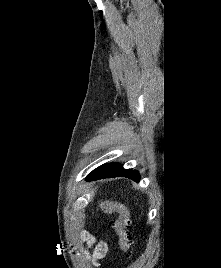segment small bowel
Masks as SVG:
<instances>
[{
	"label": "small bowel",
	"instance_id": "1",
	"mask_svg": "<svg viewBox=\"0 0 221 268\" xmlns=\"http://www.w3.org/2000/svg\"><path fill=\"white\" fill-rule=\"evenodd\" d=\"M82 240L89 246H93V251L90 253V257L94 265H98V262L103 259L108 251V246L105 242H96L95 238L85 232L82 234Z\"/></svg>",
	"mask_w": 221,
	"mask_h": 268
}]
</instances>
